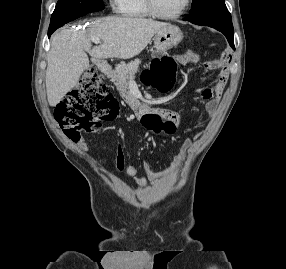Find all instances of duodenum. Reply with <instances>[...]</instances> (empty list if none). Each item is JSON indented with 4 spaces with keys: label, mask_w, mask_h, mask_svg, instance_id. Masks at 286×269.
<instances>
[{
    "label": "duodenum",
    "mask_w": 286,
    "mask_h": 269,
    "mask_svg": "<svg viewBox=\"0 0 286 269\" xmlns=\"http://www.w3.org/2000/svg\"><path fill=\"white\" fill-rule=\"evenodd\" d=\"M97 66L98 68L101 70V72L104 74V76L106 77H109L112 73V70L110 68L109 65H107L105 62H97ZM135 107L136 109H139V108H147L146 106H141V105H136V106H133Z\"/></svg>",
    "instance_id": "duodenum-1"
}]
</instances>
